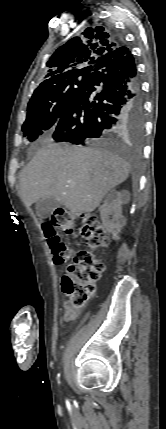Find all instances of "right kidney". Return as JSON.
I'll return each instance as SVG.
<instances>
[{
    "instance_id": "right-kidney-1",
    "label": "right kidney",
    "mask_w": 166,
    "mask_h": 429,
    "mask_svg": "<svg viewBox=\"0 0 166 429\" xmlns=\"http://www.w3.org/2000/svg\"><path fill=\"white\" fill-rule=\"evenodd\" d=\"M130 193L127 190H111L103 205L100 207V216L104 228L109 232L113 239H118V234L126 225V218L122 215V205L128 203Z\"/></svg>"
}]
</instances>
